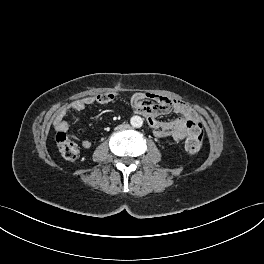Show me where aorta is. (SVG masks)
Wrapping results in <instances>:
<instances>
[{"label":"aorta","instance_id":"aorta-1","mask_svg":"<svg viewBox=\"0 0 264 264\" xmlns=\"http://www.w3.org/2000/svg\"><path fill=\"white\" fill-rule=\"evenodd\" d=\"M130 123L135 128H140L143 125V119L140 116H133L130 119Z\"/></svg>","mask_w":264,"mask_h":264}]
</instances>
